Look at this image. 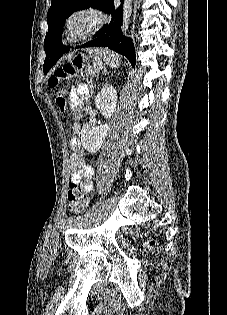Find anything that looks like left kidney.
I'll return each instance as SVG.
<instances>
[{
  "label": "left kidney",
  "mask_w": 227,
  "mask_h": 315,
  "mask_svg": "<svg viewBox=\"0 0 227 315\" xmlns=\"http://www.w3.org/2000/svg\"><path fill=\"white\" fill-rule=\"evenodd\" d=\"M95 105L105 118H110L117 106V92L108 84L101 89L95 97ZM109 127L107 124L95 126L90 123L83 125L81 130V142L83 147L92 153L97 152L107 135Z\"/></svg>",
  "instance_id": "left-kidney-1"
}]
</instances>
